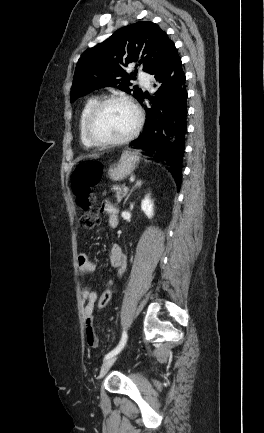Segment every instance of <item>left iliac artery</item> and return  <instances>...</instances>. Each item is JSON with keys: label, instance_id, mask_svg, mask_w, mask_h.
Wrapping results in <instances>:
<instances>
[{"label": "left iliac artery", "instance_id": "1", "mask_svg": "<svg viewBox=\"0 0 264 433\" xmlns=\"http://www.w3.org/2000/svg\"><path fill=\"white\" fill-rule=\"evenodd\" d=\"M126 341H127V333H126V331H123L122 337H121V340H120L118 346L115 349H113L111 352H109L105 356L104 359H107V358H109V357H111V356L116 355L117 353H119L122 350V348L124 347V345L126 344Z\"/></svg>", "mask_w": 264, "mask_h": 433}]
</instances>
